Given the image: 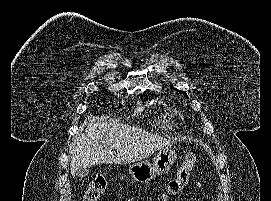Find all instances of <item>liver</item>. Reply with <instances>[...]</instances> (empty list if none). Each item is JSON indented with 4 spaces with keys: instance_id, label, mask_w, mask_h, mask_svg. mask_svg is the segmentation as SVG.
Here are the masks:
<instances>
[{
    "instance_id": "6515ba94",
    "label": "liver",
    "mask_w": 271,
    "mask_h": 201,
    "mask_svg": "<svg viewBox=\"0 0 271 201\" xmlns=\"http://www.w3.org/2000/svg\"><path fill=\"white\" fill-rule=\"evenodd\" d=\"M173 143L142 128L100 116L90 117L80 126L70 151V173L75 175L79 167L137 162Z\"/></svg>"
}]
</instances>
